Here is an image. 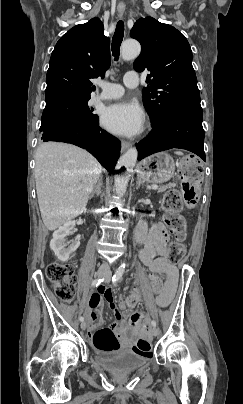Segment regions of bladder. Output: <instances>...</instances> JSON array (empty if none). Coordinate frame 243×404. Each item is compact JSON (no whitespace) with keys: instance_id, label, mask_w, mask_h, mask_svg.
<instances>
[{"instance_id":"31cf9c89","label":"bladder","mask_w":243,"mask_h":404,"mask_svg":"<svg viewBox=\"0 0 243 404\" xmlns=\"http://www.w3.org/2000/svg\"><path fill=\"white\" fill-rule=\"evenodd\" d=\"M97 364L113 374H126L148 364L149 358L139 352L123 349L114 352H102L96 356Z\"/></svg>"}]
</instances>
